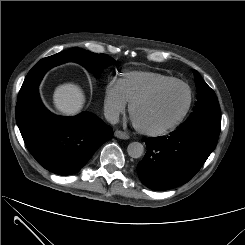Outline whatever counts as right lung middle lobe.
I'll return each instance as SVG.
<instances>
[{
  "label": "right lung middle lobe",
  "instance_id": "right-lung-middle-lobe-1",
  "mask_svg": "<svg viewBox=\"0 0 245 245\" xmlns=\"http://www.w3.org/2000/svg\"><path fill=\"white\" fill-rule=\"evenodd\" d=\"M50 57V56H49ZM56 63L62 64L65 62H77L84 67L92 70L94 73H99L102 69L109 65H112L115 60L105 54H96L78 47H74L70 50H66L51 56ZM31 76L37 73L36 66H34L30 72ZM38 88V87H37ZM29 82L23 83L19 95L18 102L25 100L31 93Z\"/></svg>",
  "mask_w": 245,
  "mask_h": 245
}]
</instances>
